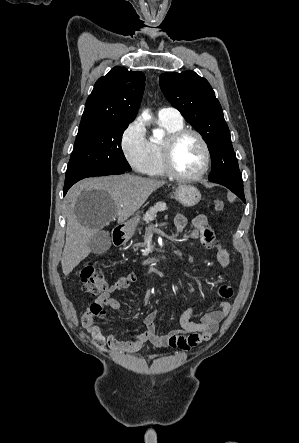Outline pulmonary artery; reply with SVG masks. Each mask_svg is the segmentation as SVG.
<instances>
[{
	"label": "pulmonary artery",
	"instance_id": "obj_1",
	"mask_svg": "<svg viewBox=\"0 0 299 443\" xmlns=\"http://www.w3.org/2000/svg\"><path fill=\"white\" fill-rule=\"evenodd\" d=\"M158 117L159 119H165V120H173L178 122L183 121L180 112L172 107H164L159 109Z\"/></svg>",
	"mask_w": 299,
	"mask_h": 443
}]
</instances>
